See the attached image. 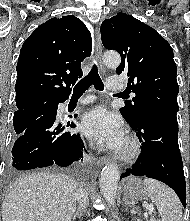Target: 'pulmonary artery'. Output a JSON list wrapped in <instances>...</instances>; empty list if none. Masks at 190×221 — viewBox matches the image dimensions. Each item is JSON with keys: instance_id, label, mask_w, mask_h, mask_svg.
<instances>
[{"instance_id": "1", "label": "pulmonary artery", "mask_w": 190, "mask_h": 221, "mask_svg": "<svg viewBox=\"0 0 190 221\" xmlns=\"http://www.w3.org/2000/svg\"><path fill=\"white\" fill-rule=\"evenodd\" d=\"M107 88L113 91H118L123 89V84L120 78L118 77H110L107 80ZM93 99L91 97L83 98L79 101V105H85L92 102Z\"/></svg>"}]
</instances>
